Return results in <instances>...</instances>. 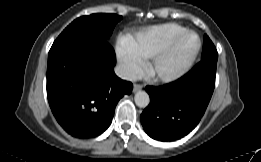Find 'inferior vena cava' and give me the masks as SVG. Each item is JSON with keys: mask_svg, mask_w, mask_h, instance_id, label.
I'll return each mask as SVG.
<instances>
[{"mask_svg": "<svg viewBox=\"0 0 261 162\" xmlns=\"http://www.w3.org/2000/svg\"><path fill=\"white\" fill-rule=\"evenodd\" d=\"M115 73L118 77H120L121 79L124 80H128V81H136L137 80V75L135 73V71L125 65V64H119L115 67Z\"/></svg>", "mask_w": 261, "mask_h": 162, "instance_id": "inferior-vena-cava-1", "label": "inferior vena cava"}]
</instances>
